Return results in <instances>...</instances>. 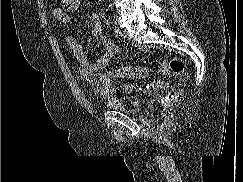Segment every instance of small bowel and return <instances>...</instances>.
<instances>
[{
    "mask_svg": "<svg viewBox=\"0 0 243 182\" xmlns=\"http://www.w3.org/2000/svg\"><path fill=\"white\" fill-rule=\"evenodd\" d=\"M80 0H62V6L54 9L53 17L62 24L71 22L70 12L78 9ZM91 33L97 38L103 50L91 61L84 46L73 36L66 37V43L79 63V72L85 81L94 86L100 95H107L114 91L110 79L103 74L104 68L110 59L116 55L119 48L108 36L103 33L102 22L97 14L91 17Z\"/></svg>",
    "mask_w": 243,
    "mask_h": 182,
    "instance_id": "c3829d8e",
    "label": "small bowel"
}]
</instances>
